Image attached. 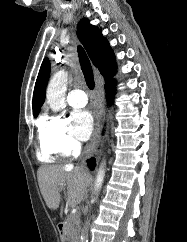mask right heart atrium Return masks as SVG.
I'll list each match as a JSON object with an SVG mask.
<instances>
[{"label": "right heart atrium", "instance_id": "d8ad5b80", "mask_svg": "<svg viewBox=\"0 0 187 242\" xmlns=\"http://www.w3.org/2000/svg\"><path fill=\"white\" fill-rule=\"evenodd\" d=\"M44 142L56 153L67 156L78 150L79 142L71 133L67 118L62 116H46L40 126Z\"/></svg>", "mask_w": 187, "mask_h": 242}]
</instances>
